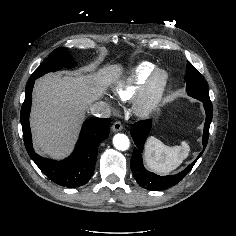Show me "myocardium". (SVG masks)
I'll list each match as a JSON object with an SVG mask.
<instances>
[{
    "mask_svg": "<svg viewBox=\"0 0 236 236\" xmlns=\"http://www.w3.org/2000/svg\"><path fill=\"white\" fill-rule=\"evenodd\" d=\"M169 81L168 73L163 69H155L136 97L134 111L137 116L150 115L159 105Z\"/></svg>",
    "mask_w": 236,
    "mask_h": 236,
    "instance_id": "1",
    "label": "myocardium"
}]
</instances>
